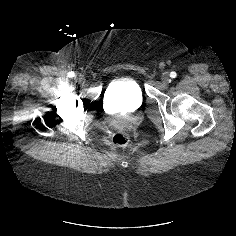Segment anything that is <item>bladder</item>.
<instances>
[{
    "mask_svg": "<svg viewBox=\"0 0 236 236\" xmlns=\"http://www.w3.org/2000/svg\"><path fill=\"white\" fill-rule=\"evenodd\" d=\"M104 98L108 107L129 112L142 104L143 91L135 79L124 77L114 81L107 88Z\"/></svg>",
    "mask_w": 236,
    "mask_h": 236,
    "instance_id": "bladder-1",
    "label": "bladder"
}]
</instances>
